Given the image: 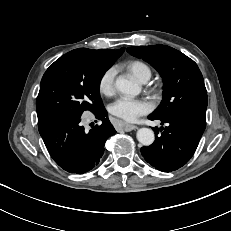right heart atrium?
<instances>
[{
	"label": "right heart atrium",
	"instance_id": "1",
	"mask_svg": "<svg viewBox=\"0 0 231 231\" xmlns=\"http://www.w3.org/2000/svg\"><path fill=\"white\" fill-rule=\"evenodd\" d=\"M116 69L107 68L100 76L98 81L99 92L105 96H111L115 92Z\"/></svg>",
	"mask_w": 231,
	"mask_h": 231
}]
</instances>
